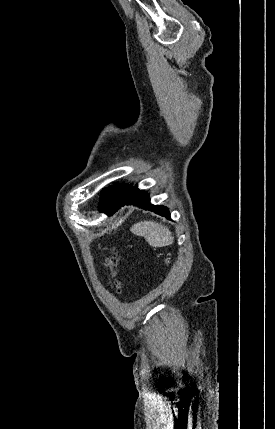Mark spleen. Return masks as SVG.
<instances>
[{
	"mask_svg": "<svg viewBox=\"0 0 275 429\" xmlns=\"http://www.w3.org/2000/svg\"><path fill=\"white\" fill-rule=\"evenodd\" d=\"M130 231L133 234L144 237L153 247H164L174 241L169 228L153 221L138 222L130 228Z\"/></svg>",
	"mask_w": 275,
	"mask_h": 429,
	"instance_id": "spleen-1",
	"label": "spleen"
}]
</instances>
